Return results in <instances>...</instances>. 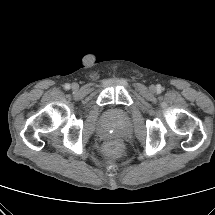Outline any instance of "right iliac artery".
<instances>
[{"label":"right iliac artery","mask_w":215,"mask_h":215,"mask_svg":"<svg viewBox=\"0 0 215 215\" xmlns=\"http://www.w3.org/2000/svg\"><path fill=\"white\" fill-rule=\"evenodd\" d=\"M64 88H65L66 90L70 89V84H65V85H64Z\"/></svg>","instance_id":"1"}]
</instances>
